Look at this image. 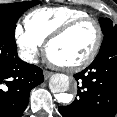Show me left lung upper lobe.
I'll list each match as a JSON object with an SVG mask.
<instances>
[{
    "label": "left lung upper lobe",
    "mask_w": 117,
    "mask_h": 117,
    "mask_svg": "<svg viewBox=\"0 0 117 117\" xmlns=\"http://www.w3.org/2000/svg\"><path fill=\"white\" fill-rule=\"evenodd\" d=\"M101 29L104 36L101 48L109 43L112 39L117 37V25H114L109 18H100L99 19Z\"/></svg>",
    "instance_id": "1"
}]
</instances>
